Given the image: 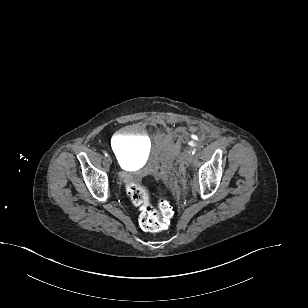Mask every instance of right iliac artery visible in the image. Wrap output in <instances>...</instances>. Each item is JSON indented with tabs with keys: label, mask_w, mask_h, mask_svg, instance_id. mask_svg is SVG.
<instances>
[{
	"label": "right iliac artery",
	"mask_w": 308,
	"mask_h": 308,
	"mask_svg": "<svg viewBox=\"0 0 308 308\" xmlns=\"http://www.w3.org/2000/svg\"><path fill=\"white\" fill-rule=\"evenodd\" d=\"M104 155H105V156H108L107 152H104Z\"/></svg>",
	"instance_id": "82829eb1"
}]
</instances>
